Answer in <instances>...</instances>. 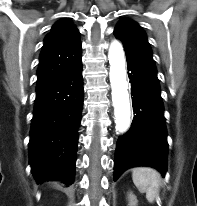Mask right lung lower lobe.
<instances>
[{"label":"right lung lower lobe","mask_w":197,"mask_h":206,"mask_svg":"<svg viewBox=\"0 0 197 206\" xmlns=\"http://www.w3.org/2000/svg\"><path fill=\"white\" fill-rule=\"evenodd\" d=\"M82 106L81 61L64 77L37 91L29 155L38 184L53 179L73 183Z\"/></svg>","instance_id":"right-lung-lower-lobe-1"}]
</instances>
